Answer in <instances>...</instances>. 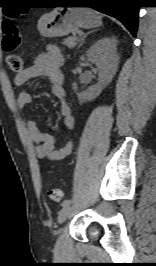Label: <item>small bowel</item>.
<instances>
[{"label":"small bowel","mask_w":156,"mask_h":266,"mask_svg":"<svg viewBox=\"0 0 156 266\" xmlns=\"http://www.w3.org/2000/svg\"><path fill=\"white\" fill-rule=\"evenodd\" d=\"M63 55L60 49L50 45L46 52L39 54L31 66L18 73L14 78L17 86H23L32 79L46 77L51 84L53 95L60 100V114L64 120L65 131L74 127L75 119L70 106L66 102V90L63 86ZM32 102L31 94L26 90L18 92L16 103L19 108H24ZM27 128L31 140L35 144V154L39 159L59 161L67 157L73 149L71 141L66 142L61 147L57 146L60 136H55L45 132L37 121L27 122Z\"/></svg>","instance_id":"obj_1"}]
</instances>
